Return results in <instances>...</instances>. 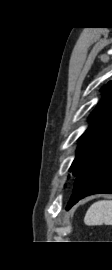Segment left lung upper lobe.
Returning <instances> with one entry per match:
<instances>
[{"label": "left lung upper lobe", "instance_id": "5c2ea615", "mask_svg": "<svg viewBox=\"0 0 112 270\" xmlns=\"http://www.w3.org/2000/svg\"><path fill=\"white\" fill-rule=\"evenodd\" d=\"M112 82L102 91L106 92L90 119H94L90 128L79 142L76 158L70 171L77 178L87 168L101 159L112 149Z\"/></svg>", "mask_w": 112, "mask_h": 270}]
</instances>
